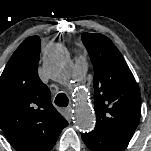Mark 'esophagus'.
<instances>
[{"label": "esophagus", "mask_w": 151, "mask_h": 151, "mask_svg": "<svg viewBox=\"0 0 151 151\" xmlns=\"http://www.w3.org/2000/svg\"><path fill=\"white\" fill-rule=\"evenodd\" d=\"M66 111H67L69 114H71V112H72V106H68V107L66 108Z\"/></svg>", "instance_id": "obj_1"}]
</instances>
